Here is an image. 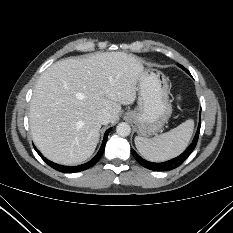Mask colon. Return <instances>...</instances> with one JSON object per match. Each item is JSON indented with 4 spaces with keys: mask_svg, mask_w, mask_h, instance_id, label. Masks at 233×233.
Instances as JSON below:
<instances>
[{
    "mask_svg": "<svg viewBox=\"0 0 233 233\" xmlns=\"http://www.w3.org/2000/svg\"><path fill=\"white\" fill-rule=\"evenodd\" d=\"M180 100H181V96L178 95V96H177V101H180Z\"/></svg>",
    "mask_w": 233,
    "mask_h": 233,
    "instance_id": "colon-1",
    "label": "colon"
}]
</instances>
